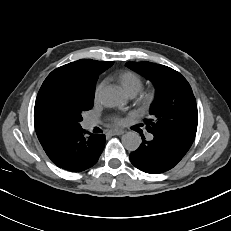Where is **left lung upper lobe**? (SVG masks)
Listing matches in <instances>:
<instances>
[{
	"label": "left lung upper lobe",
	"mask_w": 231,
	"mask_h": 231,
	"mask_svg": "<svg viewBox=\"0 0 231 231\" xmlns=\"http://www.w3.org/2000/svg\"><path fill=\"white\" fill-rule=\"evenodd\" d=\"M126 66L151 80L156 97L146 119V130L194 141L198 111L187 80L170 67L151 62H127Z\"/></svg>",
	"instance_id": "left-lung-upper-lobe-1"
}]
</instances>
